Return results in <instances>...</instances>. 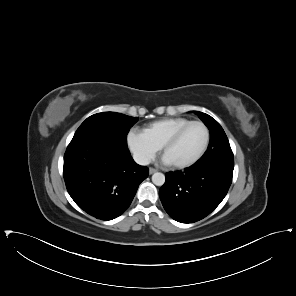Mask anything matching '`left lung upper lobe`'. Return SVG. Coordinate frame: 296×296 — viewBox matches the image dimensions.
Here are the masks:
<instances>
[{
  "label": "left lung upper lobe",
  "mask_w": 296,
  "mask_h": 296,
  "mask_svg": "<svg viewBox=\"0 0 296 296\" xmlns=\"http://www.w3.org/2000/svg\"><path fill=\"white\" fill-rule=\"evenodd\" d=\"M210 130V144L204 156L197 162L208 165L220 160H234L227 136L220 124L211 116L194 111Z\"/></svg>",
  "instance_id": "left-lung-upper-lobe-1"
}]
</instances>
